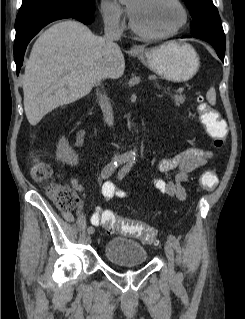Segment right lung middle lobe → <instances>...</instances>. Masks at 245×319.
<instances>
[{
  "label": "right lung middle lobe",
  "instance_id": "right-lung-middle-lobe-1",
  "mask_svg": "<svg viewBox=\"0 0 245 319\" xmlns=\"http://www.w3.org/2000/svg\"><path fill=\"white\" fill-rule=\"evenodd\" d=\"M53 6H64L77 10H88L94 9V0H22L19 14Z\"/></svg>",
  "mask_w": 245,
  "mask_h": 319
}]
</instances>
